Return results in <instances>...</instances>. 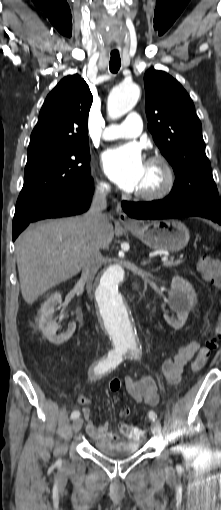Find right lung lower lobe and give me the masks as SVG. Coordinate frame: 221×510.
Returning a JSON list of instances; mask_svg holds the SVG:
<instances>
[{
    "instance_id": "1",
    "label": "right lung lower lobe",
    "mask_w": 221,
    "mask_h": 510,
    "mask_svg": "<svg viewBox=\"0 0 221 510\" xmlns=\"http://www.w3.org/2000/svg\"><path fill=\"white\" fill-rule=\"evenodd\" d=\"M94 192V182L90 178L82 187L61 196L46 204L28 218H19L14 215L13 219V241L28 226L30 222L46 218H57L80 214L86 211L91 202Z\"/></svg>"
}]
</instances>
